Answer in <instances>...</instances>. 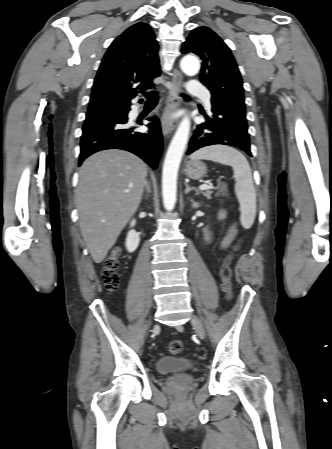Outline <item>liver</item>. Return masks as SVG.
I'll return each instance as SVG.
<instances>
[{"mask_svg":"<svg viewBox=\"0 0 332 449\" xmlns=\"http://www.w3.org/2000/svg\"><path fill=\"white\" fill-rule=\"evenodd\" d=\"M146 175L140 158L117 149L97 152L80 167L76 206L81 234L95 263L104 260L137 211Z\"/></svg>","mask_w":332,"mask_h":449,"instance_id":"obj_1","label":"liver"}]
</instances>
